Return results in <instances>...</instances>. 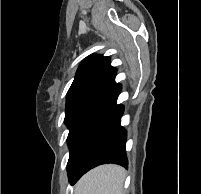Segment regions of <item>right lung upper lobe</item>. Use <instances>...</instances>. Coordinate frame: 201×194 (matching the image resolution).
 I'll use <instances>...</instances> for the list:
<instances>
[{
    "instance_id": "1",
    "label": "right lung upper lobe",
    "mask_w": 201,
    "mask_h": 194,
    "mask_svg": "<svg viewBox=\"0 0 201 194\" xmlns=\"http://www.w3.org/2000/svg\"><path fill=\"white\" fill-rule=\"evenodd\" d=\"M117 69L110 65V58L91 55L79 66L66 97V105L75 102H91L118 85Z\"/></svg>"
}]
</instances>
